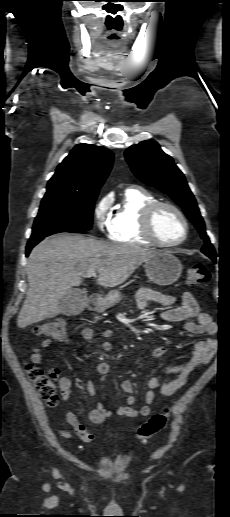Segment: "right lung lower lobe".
<instances>
[{"label": "right lung lower lobe", "instance_id": "right-lung-lower-lobe-1", "mask_svg": "<svg viewBox=\"0 0 230 517\" xmlns=\"http://www.w3.org/2000/svg\"><path fill=\"white\" fill-rule=\"evenodd\" d=\"M44 238H40V239H36V240H29L28 241V244L26 246V256L29 255L31 249L36 245L38 244L41 240H43Z\"/></svg>", "mask_w": 230, "mask_h": 517}]
</instances>
